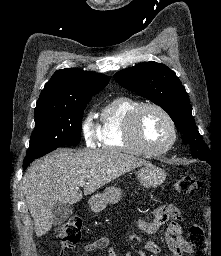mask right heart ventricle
I'll return each instance as SVG.
<instances>
[{
  "label": "right heart ventricle",
  "instance_id": "right-heart-ventricle-1",
  "mask_svg": "<svg viewBox=\"0 0 221 256\" xmlns=\"http://www.w3.org/2000/svg\"><path fill=\"white\" fill-rule=\"evenodd\" d=\"M140 104L130 96H117L102 109L100 124V145L114 152L139 154L140 152L127 140L125 128L128 116Z\"/></svg>",
  "mask_w": 221,
  "mask_h": 256
}]
</instances>
